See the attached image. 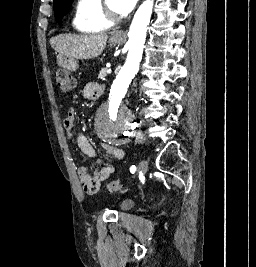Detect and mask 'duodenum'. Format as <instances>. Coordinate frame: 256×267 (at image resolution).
<instances>
[{"instance_id":"duodenum-1","label":"duodenum","mask_w":256,"mask_h":267,"mask_svg":"<svg viewBox=\"0 0 256 267\" xmlns=\"http://www.w3.org/2000/svg\"><path fill=\"white\" fill-rule=\"evenodd\" d=\"M63 71H75V66H63ZM97 86L98 87H103L104 83L103 82H98Z\"/></svg>"}]
</instances>
